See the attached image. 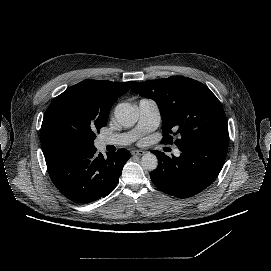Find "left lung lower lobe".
Returning a JSON list of instances; mask_svg holds the SVG:
<instances>
[{
	"mask_svg": "<svg viewBox=\"0 0 271 271\" xmlns=\"http://www.w3.org/2000/svg\"><path fill=\"white\" fill-rule=\"evenodd\" d=\"M179 157L152 151L158 167L150 177L155 186L166 194L187 198L207 188L218 176L225 162L228 142L204 139L197 145L178 146Z\"/></svg>",
	"mask_w": 271,
	"mask_h": 271,
	"instance_id": "obj_1",
	"label": "left lung lower lobe"
}]
</instances>
